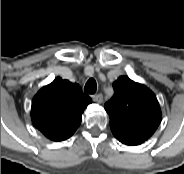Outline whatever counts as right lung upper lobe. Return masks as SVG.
<instances>
[{
  "label": "right lung upper lobe",
  "instance_id": "obj_1",
  "mask_svg": "<svg viewBox=\"0 0 184 174\" xmlns=\"http://www.w3.org/2000/svg\"><path fill=\"white\" fill-rule=\"evenodd\" d=\"M91 102L78 84L57 77L34 96L33 125L53 141L66 140L79 127L82 113Z\"/></svg>",
  "mask_w": 184,
  "mask_h": 174
}]
</instances>
